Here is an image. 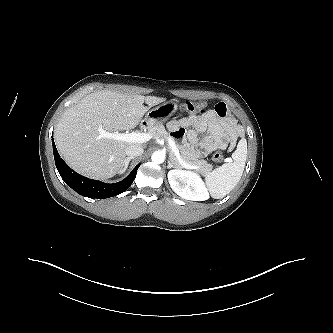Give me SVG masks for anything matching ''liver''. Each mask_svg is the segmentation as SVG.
I'll return each instance as SVG.
<instances>
[{"instance_id":"obj_1","label":"liver","mask_w":333,"mask_h":333,"mask_svg":"<svg viewBox=\"0 0 333 333\" xmlns=\"http://www.w3.org/2000/svg\"><path fill=\"white\" fill-rule=\"evenodd\" d=\"M164 100L109 90L91 93L63 113L55 127L57 149L76 172L94 179L111 178L124 166L126 148L140 143L101 137V131L133 129L150 107Z\"/></svg>"}]
</instances>
